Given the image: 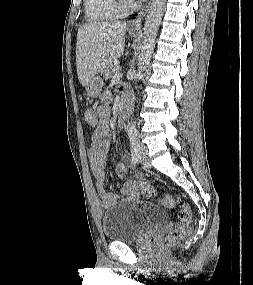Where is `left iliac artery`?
Returning a JSON list of instances; mask_svg holds the SVG:
<instances>
[{"instance_id":"obj_1","label":"left iliac artery","mask_w":253,"mask_h":285,"mask_svg":"<svg viewBox=\"0 0 253 285\" xmlns=\"http://www.w3.org/2000/svg\"><path fill=\"white\" fill-rule=\"evenodd\" d=\"M138 137H139V136H138L137 134L133 135V138H134L135 140H137Z\"/></svg>"}]
</instances>
